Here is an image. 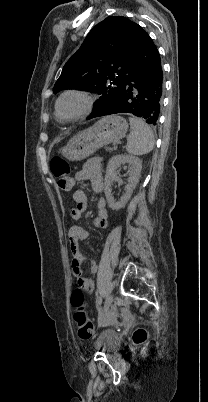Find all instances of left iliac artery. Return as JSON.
I'll return each instance as SVG.
<instances>
[{"label": "left iliac artery", "instance_id": "left-iliac-artery-1", "mask_svg": "<svg viewBox=\"0 0 208 402\" xmlns=\"http://www.w3.org/2000/svg\"><path fill=\"white\" fill-rule=\"evenodd\" d=\"M101 302H102L101 297H98V299H97V305H98V306L101 305Z\"/></svg>", "mask_w": 208, "mask_h": 402}]
</instances>
